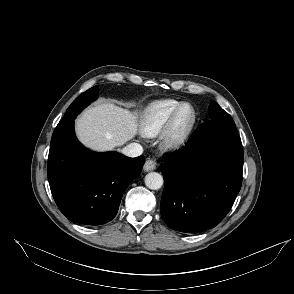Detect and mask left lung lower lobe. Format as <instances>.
Wrapping results in <instances>:
<instances>
[{"label": "left lung lower lobe", "instance_id": "1", "mask_svg": "<svg viewBox=\"0 0 294 294\" xmlns=\"http://www.w3.org/2000/svg\"><path fill=\"white\" fill-rule=\"evenodd\" d=\"M244 152L235 123L210 120L184 147L164 155L161 215L168 227L201 232L230 211L242 184Z\"/></svg>", "mask_w": 294, "mask_h": 294}]
</instances>
